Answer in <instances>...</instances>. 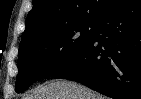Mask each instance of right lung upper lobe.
Segmentation results:
<instances>
[{"label": "right lung upper lobe", "mask_w": 141, "mask_h": 99, "mask_svg": "<svg viewBox=\"0 0 141 99\" xmlns=\"http://www.w3.org/2000/svg\"><path fill=\"white\" fill-rule=\"evenodd\" d=\"M118 2L119 0H33L21 43L78 22L97 21Z\"/></svg>", "instance_id": "1"}]
</instances>
